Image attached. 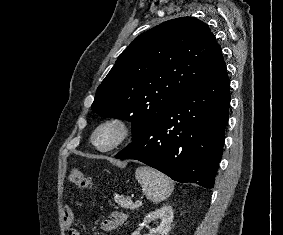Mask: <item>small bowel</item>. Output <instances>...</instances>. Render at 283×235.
<instances>
[{
	"mask_svg": "<svg viewBox=\"0 0 283 235\" xmlns=\"http://www.w3.org/2000/svg\"><path fill=\"white\" fill-rule=\"evenodd\" d=\"M63 218L66 226L70 227L74 220V213L70 208H65L63 212ZM127 219V215L122 212H114L111 216L104 220L101 224V228L104 232L110 233L115 231L118 227L122 226ZM68 235H80V233L73 228H70Z\"/></svg>",
	"mask_w": 283,
	"mask_h": 235,
	"instance_id": "small-bowel-1",
	"label": "small bowel"
}]
</instances>
